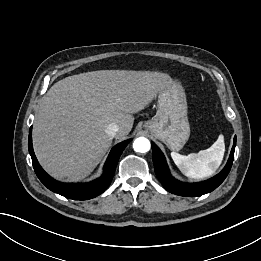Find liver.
Here are the masks:
<instances>
[{
	"instance_id": "1",
	"label": "liver",
	"mask_w": 261,
	"mask_h": 261,
	"mask_svg": "<svg viewBox=\"0 0 261 261\" xmlns=\"http://www.w3.org/2000/svg\"><path fill=\"white\" fill-rule=\"evenodd\" d=\"M168 74L150 71L99 70L66 77L44 96L34 127L33 145L44 170L55 179L78 181L99 164L116 123L124 139L143 110L168 87Z\"/></svg>"
}]
</instances>
